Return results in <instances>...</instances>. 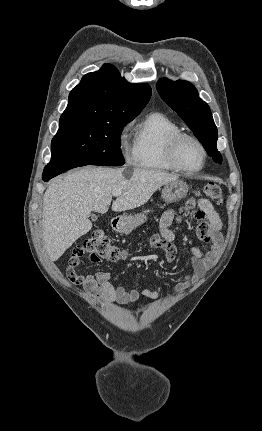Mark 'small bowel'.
Returning a JSON list of instances; mask_svg holds the SVG:
<instances>
[{
    "label": "small bowel",
    "instance_id": "small-bowel-1",
    "mask_svg": "<svg viewBox=\"0 0 262 431\" xmlns=\"http://www.w3.org/2000/svg\"><path fill=\"white\" fill-rule=\"evenodd\" d=\"M197 207L199 215L203 218L198 227V234L210 246V249L202 251L198 247L193 246L190 248L192 259L189 271L184 275L182 281L176 284L174 288L176 294L184 293L210 270L222 245V221L214 210L213 205L209 200L199 198ZM174 215L173 210H168L160 220L161 236L166 240V245L158 249L164 252L168 261H172L177 253V248L174 244L175 236L170 229ZM73 281L75 284L82 285L90 295L110 303L125 305L137 301L139 297L138 292L135 290L115 287L110 280V274L106 271H100L94 276H75ZM162 291L163 288L144 289L142 294L150 300H156Z\"/></svg>",
    "mask_w": 262,
    "mask_h": 431
}]
</instances>
